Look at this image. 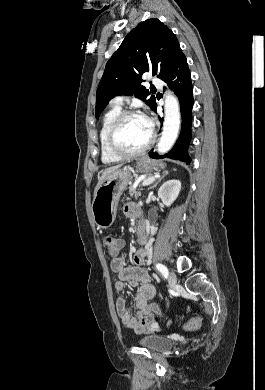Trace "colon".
I'll return each instance as SVG.
<instances>
[{"instance_id":"1","label":"colon","mask_w":265,"mask_h":390,"mask_svg":"<svg viewBox=\"0 0 265 390\" xmlns=\"http://www.w3.org/2000/svg\"><path fill=\"white\" fill-rule=\"evenodd\" d=\"M102 245L106 251V254L110 257H114L118 250L116 247V240L111 236H105L102 240ZM152 310L154 313L161 315L162 311L156 303L151 304ZM202 318L200 316H196L187 323L183 324V328L185 330H196L201 325Z\"/></svg>"}]
</instances>
